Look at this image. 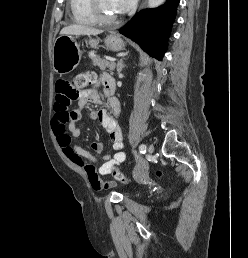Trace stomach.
Masks as SVG:
<instances>
[{
	"label": "stomach",
	"mask_w": 248,
	"mask_h": 258,
	"mask_svg": "<svg viewBox=\"0 0 248 258\" xmlns=\"http://www.w3.org/2000/svg\"><path fill=\"white\" fill-rule=\"evenodd\" d=\"M93 48L97 47L96 40H90ZM105 45L112 51H121L125 48V42L119 35L111 33L105 38ZM82 52L75 38L70 35L59 36L53 45L54 71L63 75L73 71L81 60Z\"/></svg>",
	"instance_id": "1"
}]
</instances>
